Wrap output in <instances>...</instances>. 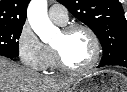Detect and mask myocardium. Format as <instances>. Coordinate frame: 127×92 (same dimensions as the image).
Returning <instances> with one entry per match:
<instances>
[{"label": "myocardium", "mask_w": 127, "mask_h": 92, "mask_svg": "<svg viewBox=\"0 0 127 92\" xmlns=\"http://www.w3.org/2000/svg\"><path fill=\"white\" fill-rule=\"evenodd\" d=\"M75 30H83L85 31L92 43H93V56L92 59L86 64L84 67L81 68H73L70 67L63 59L62 54L60 50L52 45V51L55 59L56 66L63 72L66 73H72V74H79L84 73L92 69L99 61L101 56V43L100 40L96 34V32L88 25L82 24V23H71L66 26H64L61 30V32L65 35L75 31Z\"/></svg>", "instance_id": "f54148a6"}]
</instances>
